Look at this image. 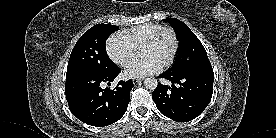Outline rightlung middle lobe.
Masks as SVG:
<instances>
[{
  "instance_id": "right-lung-middle-lobe-1",
  "label": "right lung middle lobe",
  "mask_w": 276,
  "mask_h": 138,
  "mask_svg": "<svg viewBox=\"0 0 276 138\" xmlns=\"http://www.w3.org/2000/svg\"><path fill=\"white\" fill-rule=\"evenodd\" d=\"M118 26L97 24L86 31L75 44L69 58L66 78L84 73H107L117 65L108 57L105 41Z\"/></svg>"
}]
</instances>
